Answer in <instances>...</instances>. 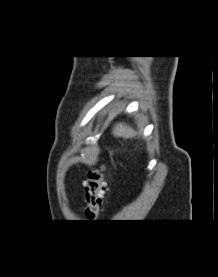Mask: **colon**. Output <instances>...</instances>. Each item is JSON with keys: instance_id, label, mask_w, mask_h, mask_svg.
<instances>
[{"instance_id": "5ec220e1", "label": "colon", "mask_w": 218, "mask_h": 277, "mask_svg": "<svg viewBox=\"0 0 218 277\" xmlns=\"http://www.w3.org/2000/svg\"><path fill=\"white\" fill-rule=\"evenodd\" d=\"M106 191L105 170L103 168L90 170L85 180L84 214L86 219L95 220L99 217Z\"/></svg>"}]
</instances>
